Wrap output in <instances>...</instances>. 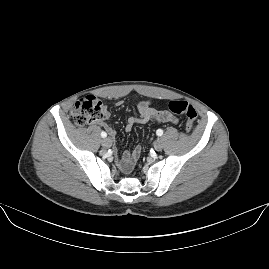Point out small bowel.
<instances>
[{
	"label": "small bowel",
	"instance_id": "c3829d8e",
	"mask_svg": "<svg viewBox=\"0 0 269 269\" xmlns=\"http://www.w3.org/2000/svg\"><path fill=\"white\" fill-rule=\"evenodd\" d=\"M138 113L139 115L136 117H131L127 121L126 125V130L129 131L133 125L135 124H145L150 121L156 122V123H171V124H177L178 123V118L171 114L168 111H156L150 106L149 101H142L138 104L137 106ZM110 115L107 110L104 111L103 117L101 120L97 121V125L103 128L110 137H115L116 131L113 127H111L108 123L107 120L109 119ZM141 154V149L140 147H137L131 157L128 152H124L119 160L120 166L123 164L132 161V163L127 164V167L133 166L135 164V161L139 158Z\"/></svg>",
	"mask_w": 269,
	"mask_h": 269
}]
</instances>
